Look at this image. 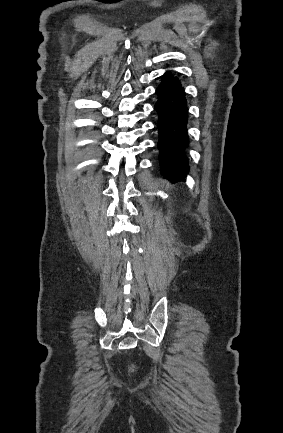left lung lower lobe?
<instances>
[{
  "mask_svg": "<svg viewBox=\"0 0 283 433\" xmlns=\"http://www.w3.org/2000/svg\"><path fill=\"white\" fill-rule=\"evenodd\" d=\"M156 94L158 95L155 110L158 114L157 148L160 153V172L167 180L177 182L183 180L189 171L185 154L188 144L187 102L180 81L170 74L164 75Z\"/></svg>",
  "mask_w": 283,
  "mask_h": 433,
  "instance_id": "1",
  "label": "left lung lower lobe"
}]
</instances>
